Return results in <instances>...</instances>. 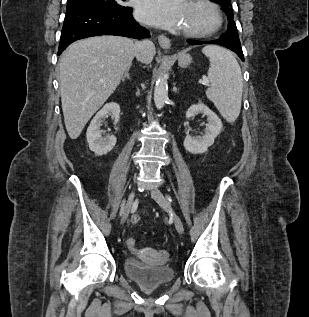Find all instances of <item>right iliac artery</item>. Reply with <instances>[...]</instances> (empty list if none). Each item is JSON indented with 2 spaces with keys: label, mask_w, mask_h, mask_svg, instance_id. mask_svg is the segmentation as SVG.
I'll return each instance as SVG.
<instances>
[{
  "label": "right iliac artery",
  "mask_w": 309,
  "mask_h": 317,
  "mask_svg": "<svg viewBox=\"0 0 309 317\" xmlns=\"http://www.w3.org/2000/svg\"><path fill=\"white\" fill-rule=\"evenodd\" d=\"M124 206H125V201L123 202L121 206L120 215H122V213L124 212Z\"/></svg>",
  "instance_id": "82829eb1"
}]
</instances>
